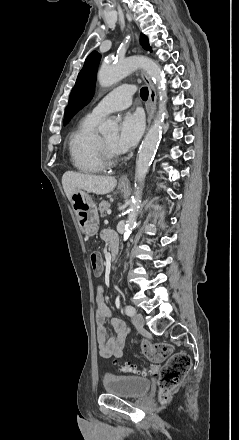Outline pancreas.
Masks as SVG:
<instances>
[{
  "label": "pancreas",
  "instance_id": "1",
  "mask_svg": "<svg viewBox=\"0 0 239 440\" xmlns=\"http://www.w3.org/2000/svg\"><path fill=\"white\" fill-rule=\"evenodd\" d=\"M110 204L107 202V200H103V202H100L99 204V212H100V218H105L107 210H109Z\"/></svg>",
  "mask_w": 239,
  "mask_h": 440
}]
</instances>
